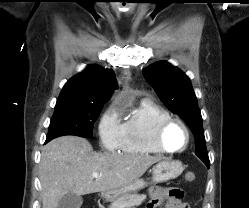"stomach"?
I'll return each mask as SVG.
<instances>
[{"mask_svg":"<svg viewBox=\"0 0 249 208\" xmlns=\"http://www.w3.org/2000/svg\"><path fill=\"white\" fill-rule=\"evenodd\" d=\"M184 168L179 160H162L152 168V182L162 183L177 178ZM147 183L143 179L128 185L127 187L108 190L101 193L107 201H113L125 194H131L143 189Z\"/></svg>","mask_w":249,"mask_h":208,"instance_id":"0dacf381","label":"stomach"}]
</instances>
